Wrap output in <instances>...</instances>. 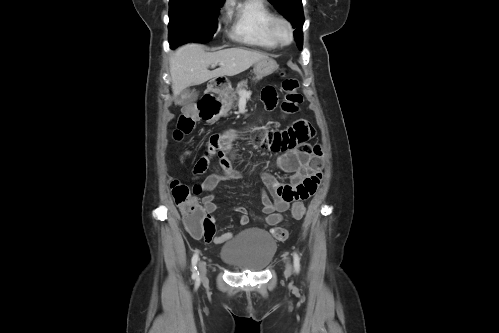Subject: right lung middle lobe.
<instances>
[{
  "label": "right lung middle lobe",
  "instance_id": "1",
  "mask_svg": "<svg viewBox=\"0 0 499 333\" xmlns=\"http://www.w3.org/2000/svg\"><path fill=\"white\" fill-rule=\"evenodd\" d=\"M225 0H170L171 48L187 42H208L217 29L219 8Z\"/></svg>",
  "mask_w": 499,
  "mask_h": 333
}]
</instances>
